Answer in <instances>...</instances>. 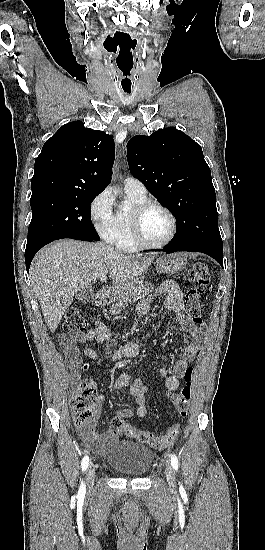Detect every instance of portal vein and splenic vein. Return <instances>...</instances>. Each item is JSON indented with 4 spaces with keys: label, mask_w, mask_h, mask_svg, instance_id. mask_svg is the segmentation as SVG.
Returning <instances> with one entry per match:
<instances>
[{
    "label": "portal vein and splenic vein",
    "mask_w": 265,
    "mask_h": 550,
    "mask_svg": "<svg viewBox=\"0 0 265 550\" xmlns=\"http://www.w3.org/2000/svg\"><path fill=\"white\" fill-rule=\"evenodd\" d=\"M106 279H107V276H106V275H102V276L100 277V280H101V281H106Z\"/></svg>",
    "instance_id": "portal-vein-and-splenic-vein-1"
}]
</instances>
